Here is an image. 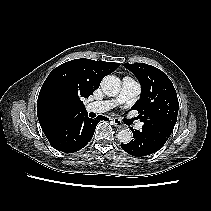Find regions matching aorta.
Listing matches in <instances>:
<instances>
[{
	"instance_id": "1",
	"label": "aorta",
	"mask_w": 211,
	"mask_h": 211,
	"mask_svg": "<svg viewBox=\"0 0 211 211\" xmlns=\"http://www.w3.org/2000/svg\"><path fill=\"white\" fill-rule=\"evenodd\" d=\"M101 89L107 96H116L121 90V81L117 76L107 75L101 81ZM118 141L127 144L132 140L130 129H122L117 133Z\"/></svg>"
}]
</instances>
